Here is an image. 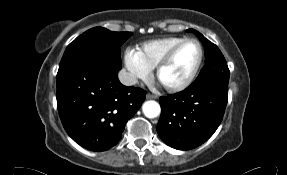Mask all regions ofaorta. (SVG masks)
Instances as JSON below:
<instances>
[{"label": "aorta", "instance_id": "aorta-1", "mask_svg": "<svg viewBox=\"0 0 287 175\" xmlns=\"http://www.w3.org/2000/svg\"><path fill=\"white\" fill-rule=\"evenodd\" d=\"M142 110L147 118H155L161 112L160 105L153 100L146 101L142 106Z\"/></svg>", "mask_w": 287, "mask_h": 175}]
</instances>
